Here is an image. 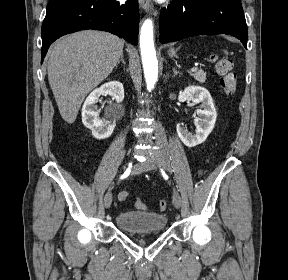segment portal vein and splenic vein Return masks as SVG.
<instances>
[{
    "label": "portal vein and splenic vein",
    "mask_w": 288,
    "mask_h": 280,
    "mask_svg": "<svg viewBox=\"0 0 288 280\" xmlns=\"http://www.w3.org/2000/svg\"><path fill=\"white\" fill-rule=\"evenodd\" d=\"M191 72H196L197 71V67H193L190 69Z\"/></svg>",
    "instance_id": "obj_1"
}]
</instances>
